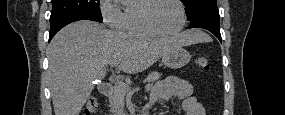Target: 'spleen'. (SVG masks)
<instances>
[{
    "instance_id": "spleen-1",
    "label": "spleen",
    "mask_w": 285,
    "mask_h": 115,
    "mask_svg": "<svg viewBox=\"0 0 285 115\" xmlns=\"http://www.w3.org/2000/svg\"><path fill=\"white\" fill-rule=\"evenodd\" d=\"M208 39L209 38H208V36L205 33H203V32L200 33V40L206 41Z\"/></svg>"
}]
</instances>
